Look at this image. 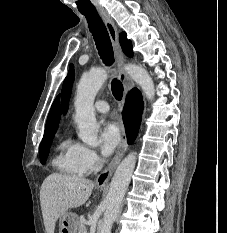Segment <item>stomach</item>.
Here are the masks:
<instances>
[{
    "label": "stomach",
    "mask_w": 227,
    "mask_h": 233,
    "mask_svg": "<svg viewBox=\"0 0 227 233\" xmlns=\"http://www.w3.org/2000/svg\"><path fill=\"white\" fill-rule=\"evenodd\" d=\"M78 222L75 213L66 212L59 220V233H77Z\"/></svg>",
    "instance_id": "stomach-1"
}]
</instances>
